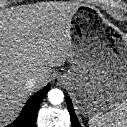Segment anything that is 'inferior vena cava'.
Instances as JSON below:
<instances>
[{"instance_id":"obj_1","label":"inferior vena cava","mask_w":127,"mask_h":127,"mask_svg":"<svg viewBox=\"0 0 127 127\" xmlns=\"http://www.w3.org/2000/svg\"><path fill=\"white\" fill-rule=\"evenodd\" d=\"M39 77L38 76H34V77H31L27 80L25 86L27 88H32L38 81Z\"/></svg>"}]
</instances>
